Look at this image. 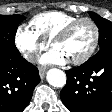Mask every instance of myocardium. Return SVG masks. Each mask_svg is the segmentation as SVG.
Wrapping results in <instances>:
<instances>
[{
    "label": "myocardium",
    "mask_w": 112,
    "mask_h": 112,
    "mask_svg": "<svg viewBox=\"0 0 112 112\" xmlns=\"http://www.w3.org/2000/svg\"><path fill=\"white\" fill-rule=\"evenodd\" d=\"M82 22H87L91 25L93 29V39L89 46V48L86 50V52L79 58L71 60L70 63L73 65H81L88 61L93 53L95 52L100 38V30L97 23L90 17H81L77 18L74 21L70 22L66 26H64L51 40L50 45L51 47L54 46V44L58 41H62L68 37L70 32L79 24Z\"/></svg>",
    "instance_id": "f54148a6"
}]
</instances>
